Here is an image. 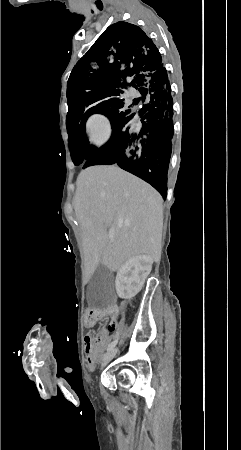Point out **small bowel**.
Here are the masks:
<instances>
[{
	"instance_id": "c3829d8e",
	"label": "small bowel",
	"mask_w": 241,
	"mask_h": 450,
	"mask_svg": "<svg viewBox=\"0 0 241 450\" xmlns=\"http://www.w3.org/2000/svg\"><path fill=\"white\" fill-rule=\"evenodd\" d=\"M115 327L116 321L112 319L107 327L101 328V330L97 333H91L85 336L84 348L87 356V362L91 370L95 368L104 347L110 342V338L107 333L109 331H113ZM95 344H99V346L95 347Z\"/></svg>"
}]
</instances>
